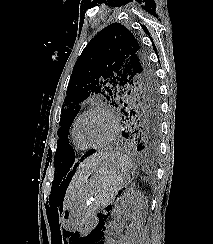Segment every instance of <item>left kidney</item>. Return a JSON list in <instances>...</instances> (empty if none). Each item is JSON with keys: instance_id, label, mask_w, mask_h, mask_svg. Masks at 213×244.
Wrapping results in <instances>:
<instances>
[{"instance_id": "1", "label": "left kidney", "mask_w": 213, "mask_h": 244, "mask_svg": "<svg viewBox=\"0 0 213 244\" xmlns=\"http://www.w3.org/2000/svg\"><path fill=\"white\" fill-rule=\"evenodd\" d=\"M143 200V195L135 191H128L115 204L113 209V217L115 220H118L124 213V211H128L130 209L134 210L132 214H129L131 224L128 227V233L125 235V237H123L120 244H135V235L137 233V230L139 229V218L141 215L140 210Z\"/></svg>"}]
</instances>
